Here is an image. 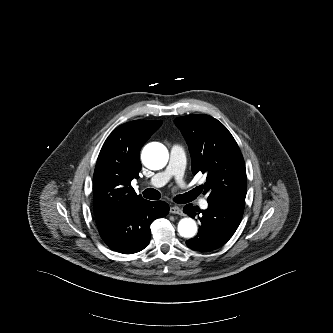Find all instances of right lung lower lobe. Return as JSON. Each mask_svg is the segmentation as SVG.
I'll return each instance as SVG.
<instances>
[{
    "instance_id": "right-lung-lower-lobe-1",
    "label": "right lung lower lobe",
    "mask_w": 333,
    "mask_h": 333,
    "mask_svg": "<svg viewBox=\"0 0 333 333\" xmlns=\"http://www.w3.org/2000/svg\"><path fill=\"white\" fill-rule=\"evenodd\" d=\"M169 212L164 201L139 199L123 210L97 219V227L104 242L113 250L132 254L144 249L150 241V225Z\"/></svg>"
}]
</instances>
